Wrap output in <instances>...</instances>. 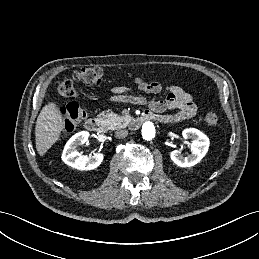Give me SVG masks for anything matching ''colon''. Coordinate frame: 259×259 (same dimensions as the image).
<instances>
[{
    "mask_svg": "<svg viewBox=\"0 0 259 259\" xmlns=\"http://www.w3.org/2000/svg\"><path fill=\"white\" fill-rule=\"evenodd\" d=\"M104 72L99 67L81 68L73 74V79H63L58 85V93L64 97H74L77 95L75 82L97 85L102 82ZM63 130L72 131L86 117V110L77 102H70L62 109ZM205 122L210 126H215L219 122V116L216 112H208L205 116Z\"/></svg>",
    "mask_w": 259,
    "mask_h": 259,
    "instance_id": "5ec220e1",
    "label": "colon"
}]
</instances>
